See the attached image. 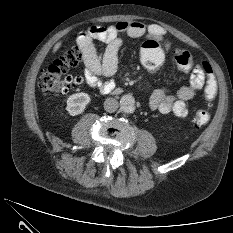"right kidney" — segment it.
Returning <instances> with one entry per match:
<instances>
[{"label":"right kidney","instance_id":"obj_1","mask_svg":"<svg viewBox=\"0 0 233 233\" xmlns=\"http://www.w3.org/2000/svg\"><path fill=\"white\" fill-rule=\"evenodd\" d=\"M90 102V97L87 93H76L69 96L67 100L66 110L71 116L81 114L86 105Z\"/></svg>","mask_w":233,"mask_h":233}]
</instances>
